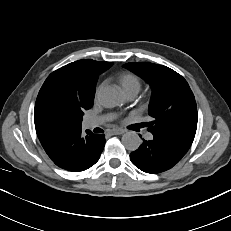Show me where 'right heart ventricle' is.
<instances>
[{"label": "right heart ventricle", "mask_w": 231, "mask_h": 231, "mask_svg": "<svg viewBox=\"0 0 231 231\" xmlns=\"http://www.w3.org/2000/svg\"><path fill=\"white\" fill-rule=\"evenodd\" d=\"M119 84L126 95H136L142 87L141 79L136 74L130 72L124 73L119 77Z\"/></svg>", "instance_id": "e07e8e85"}]
</instances>
